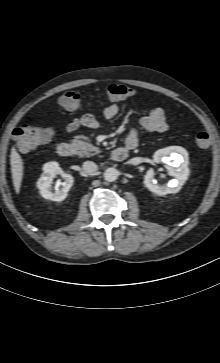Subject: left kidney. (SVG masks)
<instances>
[{"label":"left kidney","instance_id":"left-kidney-1","mask_svg":"<svg viewBox=\"0 0 220 363\" xmlns=\"http://www.w3.org/2000/svg\"><path fill=\"white\" fill-rule=\"evenodd\" d=\"M153 160L155 163H165L166 169L175 178L170 180L166 186H160L154 179V170L150 168L144 176L145 186L159 196L177 193L189 176V161L186 150L181 147L159 149L154 153Z\"/></svg>","mask_w":220,"mask_h":363}]
</instances>
